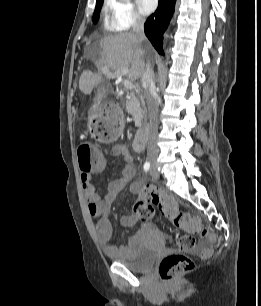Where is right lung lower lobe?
<instances>
[{
    "label": "right lung lower lobe",
    "instance_id": "obj_1",
    "mask_svg": "<svg viewBox=\"0 0 261 306\" xmlns=\"http://www.w3.org/2000/svg\"><path fill=\"white\" fill-rule=\"evenodd\" d=\"M176 0H159L158 8L145 22L144 30L159 54L163 55L162 41L163 33L166 30L175 10Z\"/></svg>",
    "mask_w": 261,
    "mask_h": 306
}]
</instances>
